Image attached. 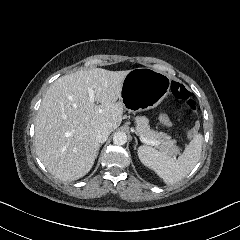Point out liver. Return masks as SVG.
Listing matches in <instances>:
<instances>
[{"instance_id":"obj_1","label":"liver","mask_w":240,"mask_h":240,"mask_svg":"<svg viewBox=\"0 0 240 240\" xmlns=\"http://www.w3.org/2000/svg\"><path fill=\"white\" fill-rule=\"evenodd\" d=\"M130 70H80L54 81L36 116V153L56 178L74 181L92 168L100 149L99 129L110 132L122 122L123 105L117 101ZM95 93L96 105L88 89Z\"/></svg>"}]
</instances>
